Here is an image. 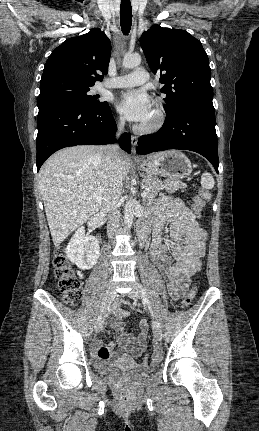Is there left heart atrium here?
Masks as SVG:
<instances>
[{
  "label": "left heart atrium",
  "mask_w": 259,
  "mask_h": 431,
  "mask_svg": "<svg viewBox=\"0 0 259 431\" xmlns=\"http://www.w3.org/2000/svg\"><path fill=\"white\" fill-rule=\"evenodd\" d=\"M117 109L129 121L144 123L152 114V101L143 91H128L117 100Z\"/></svg>",
  "instance_id": "1"
}]
</instances>
